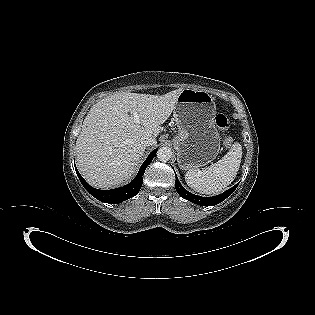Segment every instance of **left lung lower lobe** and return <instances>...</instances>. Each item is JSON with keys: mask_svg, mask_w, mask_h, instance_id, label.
I'll list each match as a JSON object with an SVG mask.
<instances>
[{"mask_svg": "<svg viewBox=\"0 0 315 315\" xmlns=\"http://www.w3.org/2000/svg\"><path fill=\"white\" fill-rule=\"evenodd\" d=\"M237 186L238 184H236L231 189L217 196L201 197V196L194 195L188 192L186 189H184L183 186L180 184L177 177H176V183H175V188L181 197L201 206H213L222 202L234 192Z\"/></svg>", "mask_w": 315, "mask_h": 315, "instance_id": "1", "label": "left lung lower lobe"}]
</instances>
